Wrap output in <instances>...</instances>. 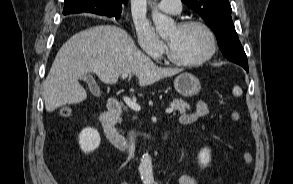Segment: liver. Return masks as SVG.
Listing matches in <instances>:
<instances>
[{"label": "liver", "mask_w": 293, "mask_h": 184, "mask_svg": "<svg viewBox=\"0 0 293 184\" xmlns=\"http://www.w3.org/2000/svg\"><path fill=\"white\" fill-rule=\"evenodd\" d=\"M181 71L158 67L120 27H90L73 35L58 51L43 82L45 108L53 112L84 101L87 93L78 80L90 72L106 84H115L121 74L132 73L140 86H147Z\"/></svg>", "instance_id": "liver-1"}]
</instances>
